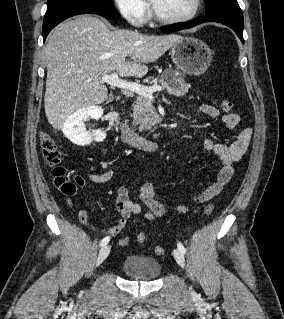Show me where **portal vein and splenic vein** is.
<instances>
[{
    "label": "portal vein and splenic vein",
    "mask_w": 284,
    "mask_h": 319,
    "mask_svg": "<svg viewBox=\"0 0 284 319\" xmlns=\"http://www.w3.org/2000/svg\"><path fill=\"white\" fill-rule=\"evenodd\" d=\"M101 81L107 83L113 87H118L121 89L129 90L135 92L141 96H144L150 100H153V93L157 91H161L162 88L160 86H151L147 87L134 82H127L118 77L116 72H113L110 75L102 76Z\"/></svg>",
    "instance_id": "1"
}]
</instances>
